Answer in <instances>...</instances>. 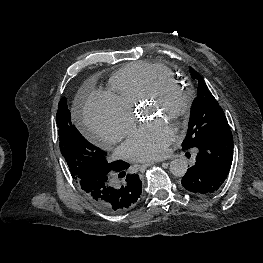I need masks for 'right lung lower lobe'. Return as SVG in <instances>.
Wrapping results in <instances>:
<instances>
[{
	"label": "right lung lower lobe",
	"instance_id": "1",
	"mask_svg": "<svg viewBox=\"0 0 263 263\" xmlns=\"http://www.w3.org/2000/svg\"><path fill=\"white\" fill-rule=\"evenodd\" d=\"M129 164L123 161L114 163L112 170L102 174H88L77 182L86 198L98 209L112 213V210L125 206H133L140 197L142 182L137 174H127L122 186L113 185L111 176L124 173ZM119 174V175H120Z\"/></svg>",
	"mask_w": 263,
	"mask_h": 263
}]
</instances>
